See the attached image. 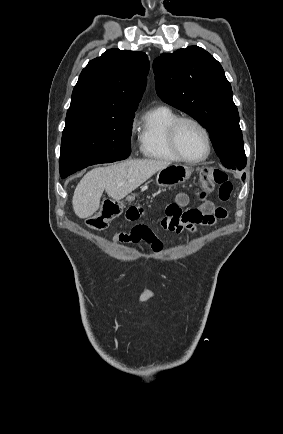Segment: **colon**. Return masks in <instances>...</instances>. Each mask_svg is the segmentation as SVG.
Instances as JSON below:
<instances>
[{"label": "colon", "instance_id": "colon-1", "mask_svg": "<svg viewBox=\"0 0 283 434\" xmlns=\"http://www.w3.org/2000/svg\"><path fill=\"white\" fill-rule=\"evenodd\" d=\"M202 185L204 188L210 190L218 187V197L221 201L225 202L230 198L232 193V183L228 175L218 168H206L201 172ZM134 200L133 197L128 199L129 202ZM125 207V203L119 200H105L98 213L91 216L87 220L89 227L95 230L105 229L109 223L121 215Z\"/></svg>", "mask_w": 283, "mask_h": 434}]
</instances>
